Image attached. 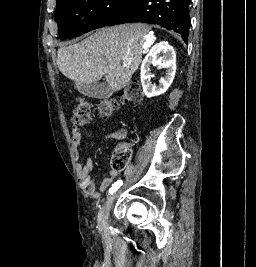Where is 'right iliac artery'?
I'll use <instances>...</instances> for the list:
<instances>
[{"mask_svg": "<svg viewBox=\"0 0 256 267\" xmlns=\"http://www.w3.org/2000/svg\"><path fill=\"white\" fill-rule=\"evenodd\" d=\"M122 184H123L122 180H118L117 182H115L109 189V194H113L114 192H116Z\"/></svg>", "mask_w": 256, "mask_h": 267, "instance_id": "1", "label": "right iliac artery"}]
</instances>
